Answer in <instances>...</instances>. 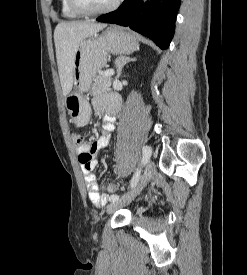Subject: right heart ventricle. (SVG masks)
<instances>
[{
  "instance_id": "1",
  "label": "right heart ventricle",
  "mask_w": 247,
  "mask_h": 275,
  "mask_svg": "<svg viewBox=\"0 0 247 275\" xmlns=\"http://www.w3.org/2000/svg\"><path fill=\"white\" fill-rule=\"evenodd\" d=\"M62 11L65 17L67 18H77L79 14L74 12L68 5L67 0H62Z\"/></svg>"
}]
</instances>
